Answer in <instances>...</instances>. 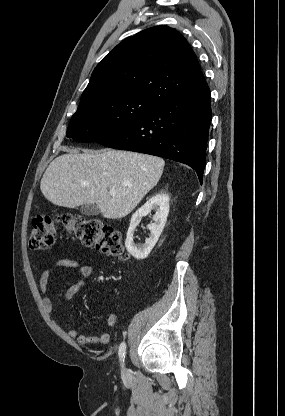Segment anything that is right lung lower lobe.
Segmentation results:
<instances>
[{
    "mask_svg": "<svg viewBox=\"0 0 285 416\" xmlns=\"http://www.w3.org/2000/svg\"><path fill=\"white\" fill-rule=\"evenodd\" d=\"M210 102L207 86L158 106L131 126L97 142L187 164L202 183L212 118Z\"/></svg>",
    "mask_w": 285,
    "mask_h": 416,
    "instance_id": "1",
    "label": "right lung lower lobe"
}]
</instances>
